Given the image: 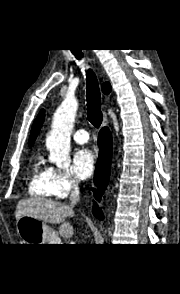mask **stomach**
<instances>
[{
    "mask_svg": "<svg viewBox=\"0 0 180 294\" xmlns=\"http://www.w3.org/2000/svg\"><path fill=\"white\" fill-rule=\"evenodd\" d=\"M17 233L23 244H45L56 236L44 221L24 215L16 222Z\"/></svg>",
    "mask_w": 180,
    "mask_h": 294,
    "instance_id": "obj_1",
    "label": "stomach"
}]
</instances>
